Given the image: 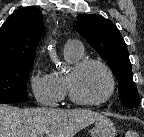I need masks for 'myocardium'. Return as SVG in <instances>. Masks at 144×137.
I'll use <instances>...</instances> for the list:
<instances>
[{
  "label": "myocardium",
  "mask_w": 144,
  "mask_h": 137,
  "mask_svg": "<svg viewBox=\"0 0 144 137\" xmlns=\"http://www.w3.org/2000/svg\"><path fill=\"white\" fill-rule=\"evenodd\" d=\"M90 64L100 66L107 74L109 83H110V87H109L107 94L103 98L96 100V101H87V100L80 98L77 95L75 91V87H74L75 75ZM65 84H66V90H67V95L69 99L73 103L80 105V106H85V107H95V106H100L106 103L112 98L116 90V80H115L114 73L112 72L110 67L105 62L96 58H82L78 60L77 62L73 63L68 73L65 76Z\"/></svg>",
  "instance_id": "obj_1"
}]
</instances>
